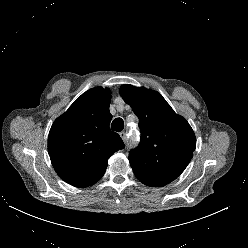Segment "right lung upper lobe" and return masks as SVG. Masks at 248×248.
<instances>
[{
  "mask_svg": "<svg viewBox=\"0 0 248 248\" xmlns=\"http://www.w3.org/2000/svg\"><path fill=\"white\" fill-rule=\"evenodd\" d=\"M111 94L102 87L83 93L59 116L49 132L48 152L57 174L75 187L95 184L105 173L108 159L124 148L111 131Z\"/></svg>",
  "mask_w": 248,
  "mask_h": 248,
  "instance_id": "cb5924a9",
  "label": "right lung upper lobe"
}]
</instances>
